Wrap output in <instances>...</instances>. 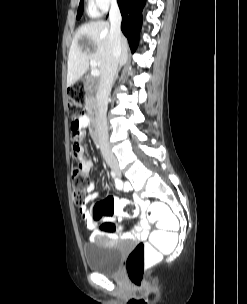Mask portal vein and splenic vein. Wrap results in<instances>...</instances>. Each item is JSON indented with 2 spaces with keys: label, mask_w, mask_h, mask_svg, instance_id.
Returning <instances> with one entry per match:
<instances>
[{
  "label": "portal vein and splenic vein",
  "mask_w": 247,
  "mask_h": 304,
  "mask_svg": "<svg viewBox=\"0 0 247 304\" xmlns=\"http://www.w3.org/2000/svg\"><path fill=\"white\" fill-rule=\"evenodd\" d=\"M90 66L92 68L91 70V75L94 76V77H97L100 75V71L99 69H97V62L95 60H91L90 61Z\"/></svg>",
  "instance_id": "18ae733b"
}]
</instances>
